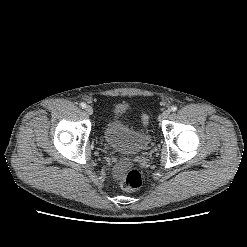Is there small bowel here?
<instances>
[{
	"instance_id": "obj_1",
	"label": "small bowel",
	"mask_w": 247,
	"mask_h": 247,
	"mask_svg": "<svg viewBox=\"0 0 247 247\" xmlns=\"http://www.w3.org/2000/svg\"><path fill=\"white\" fill-rule=\"evenodd\" d=\"M125 164H119V165H116L115 168H114V175L116 178H121L124 171H125Z\"/></svg>"
}]
</instances>
